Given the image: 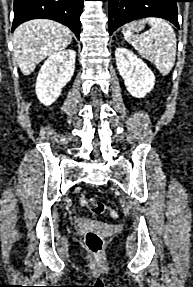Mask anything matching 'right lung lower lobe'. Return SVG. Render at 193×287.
Listing matches in <instances>:
<instances>
[{"label":"right lung lower lobe","instance_id":"obj_1","mask_svg":"<svg viewBox=\"0 0 193 287\" xmlns=\"http://www.w3.org/2000/svg\"><path fill=\"white\" fill-rule=\"evenodd\" d=\"M84 0H14L12 31L31 19H51L68 26L80 38Z\"/></svg>","mask_w":193,"mask_h":287}]
</instances>
